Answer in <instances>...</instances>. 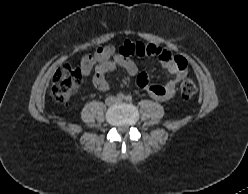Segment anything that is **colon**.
<instances>
[{
	"label": "colon",
	"instance_id": "colon-1",
	"mask_svg": "<svg viewBox=\"0 0 248 194\" xmlns=\"http://www.w3.org/2000/svg\"><path fill=\"white\" fill-rule=\"evenodd\" d=\"M145 53V44L137 43L135 54L137 56H143ZM79 86L80 71L69 64H64L59 67L53 77L51 85L52 97L58 102H65ZM196 90V83L191 78L184 79L180 84V95L184 99L191 98L196 93Z\"/></svg>",
	"mask_w": 248,
	"mask_h": 194
}]
</instances>
